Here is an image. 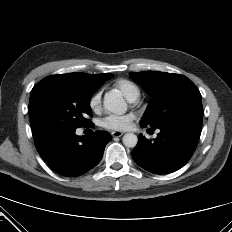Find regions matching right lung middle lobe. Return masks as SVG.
Returning <instances> with one entry per match:
<instances>
[{"instance_id": "1", "label": "right lung middle lobe", "mask_w": 232, "mask_h": 232, "mask_svg": "<svg viewBox=\"0 0 232 232\" xmlns=\"http://www.w3.org/2000/svg\"><path fill=\"white\" fill-rule=\"evenodd\" d=\"M113 75L108 74L107 78ZM99 88L79 73L52 75L37 83L30 94L33 133L47 129H77L92 115L90 98Z\"/></svg>"}]
</instances>
